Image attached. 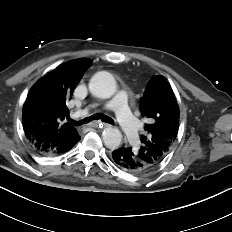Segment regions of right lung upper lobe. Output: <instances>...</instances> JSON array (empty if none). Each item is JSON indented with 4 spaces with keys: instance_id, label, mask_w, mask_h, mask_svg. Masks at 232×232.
<instances>
[{
    "instance_id": "1",
    "label": "right lung upper lobe",
    "mask_w": 232,
    "mask_h": 232,
    "mask_svg": "<svg viewBox=\"0 0 232 232\" xmlns=\"http://www.w3.org/2000/svg\"><path fill=\"white\" fill-rule=\"evenodd\" d=\"M92 60L80 58L59 65L40 78L30 89L23 105L25 135L41 154L56 155L80 140L69 122L66 103Z\"/></svg>"
}]
</instances>
